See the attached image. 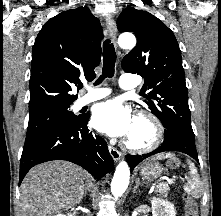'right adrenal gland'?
Wrapping results in <instances>:
<instances>
[{
  "label": "right adrenal gland",
  "instance_id": "right-adrenal-gland-1",
  "mask_svg": "<svg viewBox=\"0 0 221 216\" xmlns=\"http://www.w3.org/2000/svg\"><path fill=\"white\" fill-rule=\"evenodd\" d=\"M88 191H90V189H89V187L87 186L86 189H85V193H84V196H85V197H86Z\"/></svg>",
  "mask_w": 221,
  "mask_h": 216
}]
</instances>
